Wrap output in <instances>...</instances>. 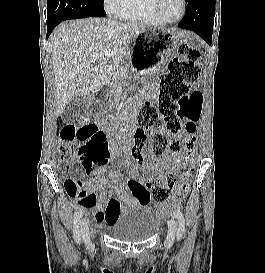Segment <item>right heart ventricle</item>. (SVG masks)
<instances>
[{
    "label": "right heart ventricle",
    "mask_w": 265,
    "mask_h": 273,
    "mask_svg": "<svg viewBox=\"0 0 265 273\" xmlns=\"http://www.w3.org/2000/svg\"><path fill=\"white\" fill-rule=\"evenodd\" d=\"M116 16L122 20L148 26L161 27L165 25L155 16L152 0H124Z\"/></svg>",
    "instance_id": "e07e8e85"
}]
</instances>
